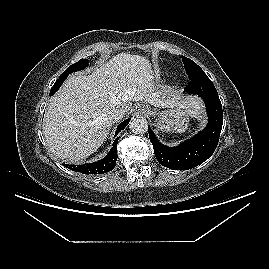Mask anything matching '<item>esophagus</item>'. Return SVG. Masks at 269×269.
Masks as SVG:
<instances>
[{
  "label": "esophagus",
  "instance_id": "obj_1",
  "mask_svg": "<svg viewBox=\"0 0 269 269\" xmlns=\"http://www.w3.org/2000/svg\"><path fill=\"white\" fill-rule=\"evenodd\" d=\"M147 114L148 110L142 105H137L134 109V116H146Z\"/></svg>",
  "mask_w": 269,
  "mask_h": 269
}]
</instances>
